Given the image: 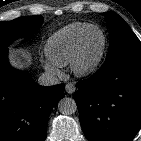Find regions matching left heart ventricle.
I'll return each mask as SVG.
<instances>
[{
    "mask_svg": "<svg viewBox=\"0 0 141 141\" xmlns=\"http://www.w3.org/2000/svg\"><path fill=\"white\" fill-rule=\"evenodd\" d=\"M103 44V37L99 31H92L85 42L83 61L92 62L99 54Z\"/></svg>",
    "mask_w": 141,
    "mask_h": 141,
    "instance_id": "1",
    "label": "left heart ventricle"
}]
</instances>
